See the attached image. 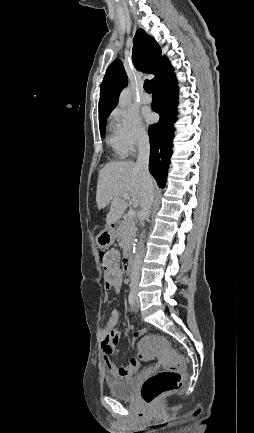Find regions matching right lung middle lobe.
<instances>
[{
	"mask_svg": "<svg viewBox=\"0 0 254 433\" xmlns=\"http://www.w3.org/2000/svg\"><path fill=\"white\" fill-rule=\"evenodd\" d=\"M106 120H107V119H106ZM106 120H104V121H102V122L99 123V124H100V134H101L102 136L105 135Z\"/></svg>",
	"mask_w": 254,
	"mask_h": 433,
	"instance_id": "obj_1",
	"label": "right lung middle lobe"
}]
</instances>
